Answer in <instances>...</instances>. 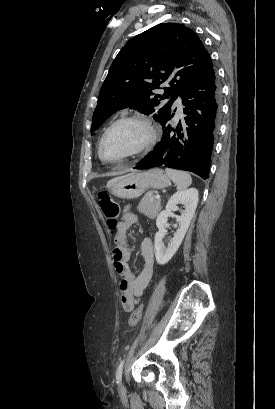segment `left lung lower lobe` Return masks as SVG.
I'll list each match as a JSON object with an SVG mask.
<instances>
[{
    "instance_id": "left-lung-lower-lobe-1",
    "label": "left lung lower lobe",
    "mask_w": 275,
    "mask_h": 409,
    "mask_svg": "<svg viewBox=\"0 0 275 409\" xmlns=\"http://www.w3.org/2000/svg\"><path fill=\"white\" fill-rule=\"evenodd\" d=\"M184 126L173 128L171 120L176 109L161 124V141L135 167L156 166L193 172L209 178L214 139L221 117V88L214 67L188 84L180 93ZM181 122V121H180Z\"/></svg>"
}]
</instances>
